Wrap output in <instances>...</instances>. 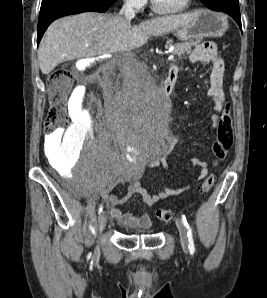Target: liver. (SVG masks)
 Returning <instances> with one entry per match:
<instances>
[{
    "label": "liver",
    "mask_w": 267,
    "mask_h": 298,
    "mask_svg": "<svg viewBox=\"0 0 267 298\" xmlns=\"http://www.w3.org/2000/svg\"><path fill=\"white\" fill-rule=\"evenodd\" d=\"M194 13L158 17L130 25L119 15L86 12L54 21L42 38L38 58L43 74L60 63L129 51L149 36H160L192 22Z\"/></svg>",
    "instance_id": "liver-1"
}]
</instances>
